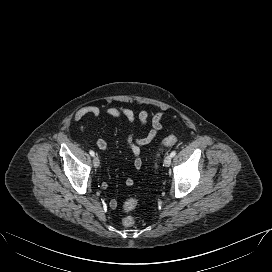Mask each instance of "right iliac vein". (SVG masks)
I'll list each match as a JSON object with an SVG mask.
<instances>
[{"instance_id": "63e3f726", "label": "right iliac vein", "mask_w": 272, "mask_h": 272, "mask_svg": "<svg viewBox=\"0 0 272 272\" xmlns=\"http://www.w3.org/2000/svg\"><path fill=\"white\" fill-rule=\"evenodd\" d=\"M93 165H94V167H99V165H100V160H99V158H98V156H95L94 157V159H93Z\"/></svg>"}]
</instances>
